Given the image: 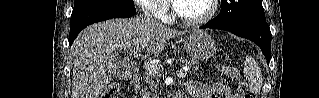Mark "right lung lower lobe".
<instances>
[{"mask_svg": "<svg viewBox=\"0 0 319 98\" xmlns=\"http://www.w3.org/2000/svg\"><path fill=\"white\" fill-rule=\"evenodd\" d=\"M136 13L135 7L117 3H96L74 7L71 15L69 45L86 26L111 18H127Z\"/></svg>", "mask_w": 319, "mask_h": 98, "instance_id": "1", "label": "right lung lower lobe"}]
</instances>
